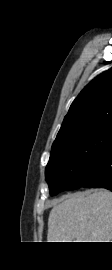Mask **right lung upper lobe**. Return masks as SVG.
<instances>
[{
	"mask_svg": "<svg viewBox=\"0 0 112 270\" xmlns=\"http://www.w3.org/2000/svg\"><path fill=\"white\" fill-rule=\"evenodd\" d=\"M112 121V68L93 79L70 106L52 145Z\"/></svg>",
	"mask_w": 112,
	"mask_h": 270,
	"instance_id": "right-lung-upper-lobe-1",
	"label": "right lung upper lobe"
}]
</instances>
